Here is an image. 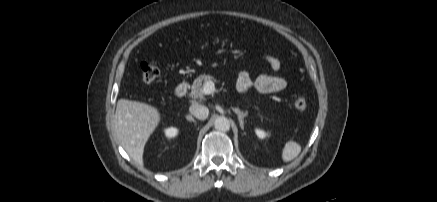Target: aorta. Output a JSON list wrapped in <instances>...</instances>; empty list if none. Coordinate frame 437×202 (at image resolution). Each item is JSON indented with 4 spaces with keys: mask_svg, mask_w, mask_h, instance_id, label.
Returning <instances> with one entry per match:
<instances>
[{
    "mask_svg": "<svg viewBox=\"0 0 437 202\" xmlns=\"http://www.w3.org/2000/svg\"><path fill=\"white\" fill-rule=\"evenodd\" d=\"M214 127L216 130L226 132L230 129V122L224 116H219L215 119Z\"/></svg>",
    "mask_w": 437,
    "mask_h": 202,
    "instance_id": "aorta-1",
    "label": "aorta"
}]
</instances>
